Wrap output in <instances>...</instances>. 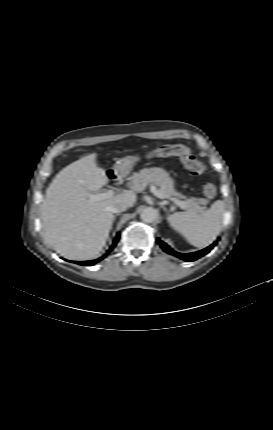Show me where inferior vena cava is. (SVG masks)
Returning a JSON list of instances; mask_svg holds the SVG:
<instances>
[{
  "label": "inferior vena cava",
  "mask_w": 273,
  "mask_h": 430,
  "mask_svg": "<svg viewBox=\"0 0 273 430\" xmlns=\"http://www.w3.org/2000/svg\"><path fill=\"white\" fill-rule=\"evenodd\" d=\"M128 205L123 201H117L109 207L110 212L119 213L127 210Z\"/></svg>",
  "instance_id": "1"
}]
</instances>
